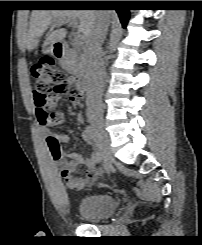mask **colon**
<instances>
[{"label":"colon","instance_id":"obj_1","mask_svg":"<svg viewBox=\"0 0 202 245\" xmlns=\"http://www.w3.org/2000/svg\"><path fill=\"white\" fill-rule=\"evenodd\" d=\"M33 78V102L38 119L41 123L52 124L54 121L52 110L55 98L66 96L70 103L76 104L78 94L69 82L64 79L63 73L54 67L53 59L45 58L31 66ZM49 148L54 156H59L61 146L58 140H53Z\"/></svg>","mask_w":202,"mask_h":245}]
</instances>
